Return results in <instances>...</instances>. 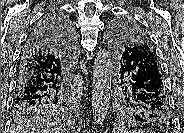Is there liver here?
Masks as SVG:
<instances>
[{
    "mask_svg": "<svg viewBox=\"0 0 184 133\" xmlns=\"http://www.w3.org/2000/svg\"><path fill=\"white\" fill-rule=\"evenodd\" d=\"M15 132H22V133H63L61 127L45 118H33L23 124L20 127H17L13 130Z\"/></svg>",
    "mask_w": 184,
    "mask_h": 133,
    "instance_id": "1",
    "label": "liver"
}]
</instances>
